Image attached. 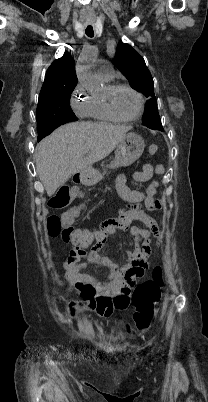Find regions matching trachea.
I'll list each match as a JSON object with an SVG mask.
<instances>
[{"instance_id":"3493384b","label":"trachea","mask_w":208,"mask_h":402,"mask_svg":"<svg viewBox=\"0 0 208 402\" xmlns=\"http://www.w3.org/2000/svg\"><path fill=\"white\" fill-rule=\"evenodd\" d=\"M85 33L88 37H93L94 36V31H93V27L88 26L85 30Z\"/></svg>"}]
</instances>
